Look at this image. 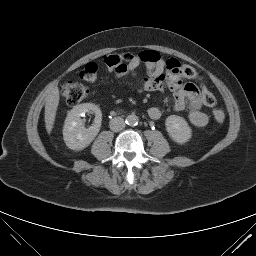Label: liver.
<instances>
[{
    "mask_svg": "<svg viewBox=\"0 0 256 256\" xmlns=\"http://www.w3.org/2000/svg\"><path fill=\"white\" fill-rule=\"evenodd\" d=\"M59 105V90L54 87L49 93L45 104V127L48 134L51 133Z\"/></svg>",
    "mask_w": 256,
    "mask_h": 256,
    "instance_id": "liver-1",
    "label": "liver"
}]
</instances>
